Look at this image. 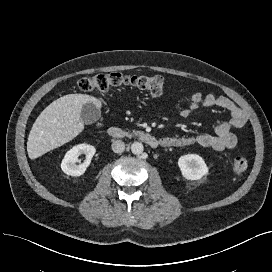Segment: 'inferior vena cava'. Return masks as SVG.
<instances>
[{
    "instance_id": "1",
    "label": "inferior vena cava",
    "mask_w": 272,
    "mask_h": 272,
    "mask_svg": "<svg viewBox=\"0 0 272 272\" xmlns=\"http://www.w3.org/2000/svg\"><path fill=\"white\" fill-rule=\"evenodd\" d=\"M112 150L115 153H122L125 150V143L122 140L113 141Z\"/></svg>"
}]
</instances>
